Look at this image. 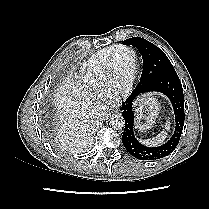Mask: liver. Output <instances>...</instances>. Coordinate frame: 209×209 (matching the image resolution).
<instances>
[{
  "instance_id": "liver-1",
  "label": "liver",
  "mask_w": 209,
  "mask_h": 209,
  "mask_svg": "<svg viewBox=\"0 0 209 209\" xmlns=\"http://www.w3.org/2000/svg\"><path fill=\"white\" fill-rule=\"evenodd\" d=\"M60 127L57 136L62 148L80 151L90 142L91 126L96 115L89 90L68 79L55 94Z\"/></svg>"
}]
</instances>
